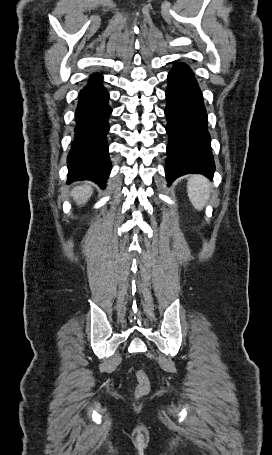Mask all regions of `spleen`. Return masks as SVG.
<instances>
[{"mask_svg": "<svg viewBox=\"0 0 272 455\" xmlns=\"http://www.w3.org/2000/svg\"><path fill=\"white\" fill-rule=\"evenodd\" d=\"M210 190V183L204 176L194 175L188 179V197L196 210H203L210 197Z\"/></svg>", "mask_w": 272, "mask_h": 455, "instance_id": "3e777b00", "label": "spleen"}]
</instances>
